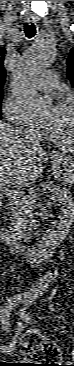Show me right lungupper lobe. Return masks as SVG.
<instances>
[{
	"mask_svg": "<svg viewBox=\"0 0 74 366\" xmlns=\"http://www.w3.org/2000/svg\"><path fill=\"white\" fill-rule=\"evenodd\" d=\"M5 54L6 50L3 47H0V92L2 91V87L6 78V73L3 65Z\"/></svg>",
	"mask_w": 74,
	"mask_h": 366,
	"instance_id": "1",
	"label": "right lung upper lobe"
}]
</instances>
